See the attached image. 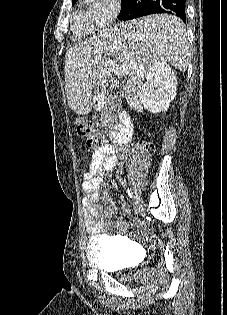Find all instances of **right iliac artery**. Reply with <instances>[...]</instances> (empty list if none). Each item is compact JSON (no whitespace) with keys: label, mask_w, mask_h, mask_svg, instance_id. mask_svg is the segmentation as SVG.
<instances>
[{"label":"right iliac artery","mask_w":227,"mask_h":315,"mask_svg":"<svg viewBox=\"0 0 227 315\" xmlns=\"http://www.w3.org/2000/svg\"><path fill=\"white\" fill-rule=\"evenodd\" d=\"M130 197L136 202L139 199L138 194L129 192Z\"/></svg>","instance_id":"obj_1"}]
</instances>
